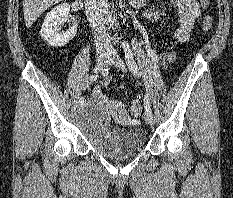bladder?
Here are the masks:
<instances>
[{
  "label": "bladder",
  "mask_w": 233,
  "mask_h": 198,
  "mask_svg": "<svg viewBox=\"0 0 233 198\" xmlns=\"http://www.w3.org/2000/svg\"><path fill=\"white\" fill-rule=\"evenodd\" d=\"M79 126L91 146L107 157L130 156L146 144V132L141 127L111 128L108 110L99 102L86 105L80 113Z\"/></svg>",
  "instance_id": "31cf9c89"
}]
</instances>
